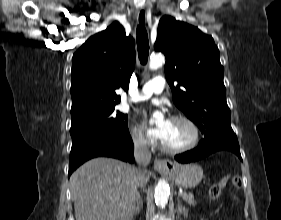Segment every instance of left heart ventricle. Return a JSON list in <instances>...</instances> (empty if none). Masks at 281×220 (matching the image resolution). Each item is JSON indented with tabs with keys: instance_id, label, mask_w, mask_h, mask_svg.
I'll list each match as a JSON object with an SVG mask.
<instances>
[{
	"instance_id": "left-heart-ventricle-1",
	"label": "left heart ventricle",
	"mask_w": 281,
	"mask_h": 220,
	"mask_svg": "<svg viewBox=\"0 0 281 220\" xmlns=\"http://www.w3.org/2000/svg\"><path fill=\"white\" fill-rule=\"evenodd\" d=\"M191 138L192 131L186 123L170 120L162 143L167 147L177 148L189 143Z\"/></svg>"
}]
</instances>
